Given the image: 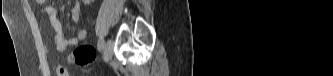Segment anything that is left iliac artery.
Returning <instances> with one entry per match:
<instances>
[{
  "label": "left iliac artery",
  "mask_w": 333,
  "mask_h": 76,
  "mask_svg": "<svg viewBox=\"0 0 333 76\" xmlns=\"http://www.w3.org/2000/svg\"><path fill=\"white\" fill-rule=\"evenodd\" d=\"M104 47V39L101 37L98 41V49L101 51Z\"/></svg>",
  "instance_id": "obj_1"
}]
</instances>
